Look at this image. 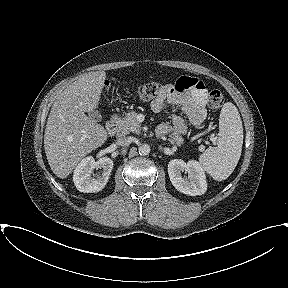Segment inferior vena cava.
Here are the masks:
<instances>
[{
	"label": "inferior vena cava",
	"mask_w": 288,
	"mask_h": 288,
	"mask_svg": "<svg viewBox=\"0 0 288 288\" xmlns=\"http://www.w3.org/2000/svg\"><path fill=\"white\" fill-rule=\"evenodd\" d=\"M133 141V138L132 137H122V138H119L117 141H116V144L118 146H123V147H127L129 146Z\"/></svg>",
	"instance_id": "602c4592"
}]
</instances>
